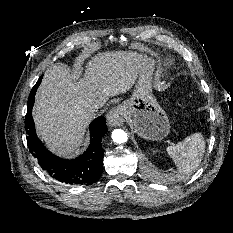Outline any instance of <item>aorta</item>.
Segmentation results:
<instances>
[{
  "instance_id": "762f6f07",
  "label": "aorta",
  "mask_w": 233,
  "mask_h": 233,
  "mask_svg": "<svg viewBox=\"0 0 233 233\" xmlns=\"http://www.w3.org/2000/svg\"><path fill=\"white\" fill-rule=\"evenodd\" d=\"M112 140L117 144L125 143L128 140L127 133L122 129H115L112 132Z\"/></svg>"
}]
</instances>
